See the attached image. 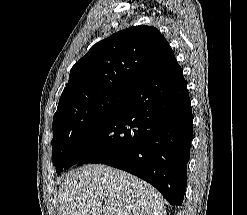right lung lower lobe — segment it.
Segmentation results:
<instances>
[{
  "label": "right lung lower lobe",
  "instance_id": "98d812e1",
  "mask_svg": "<svg viewBox=\"0 0 247 215\" xmlns=\"http://www.w3.org/2000/svg\"><path fill=\"white\" fill-rule=\"evenodd\" d=\"M192 121L187 84L172 54L117 114L78 140L67 160L70 166L102 163L127 171L152 184L171 205L181 206Z\"/></svg>",
  "mask_w": 247,
  "mask_h": 215
}]
</instances>
